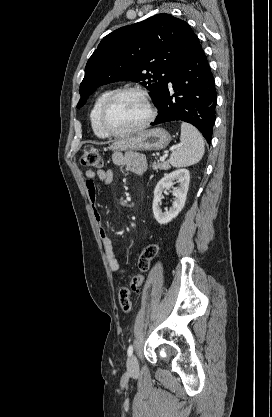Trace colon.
<instances>
[{
    "mask_svg": "<svg viewBox=\"0 0 272 417\" xmlns=\"http://www.w3.org/2000/svg\"><path fill=\"white\" fill-rule=\"evenodd\" d=\"M81 163L85 167L99 168L103 161L98 149L88 145L83 149L81 155ZM160 251L157 243L148 245L142 252L138 260V268L140 273L133 276L128 285L120 288L118 292V302L123 312L129 313L131 310V296L137 293L143 283L144 274L149 270L150 262Z\"/></svg>",
    "mask_w": 272,
    "mask_h": 417,
    "instance_id": "obj_1",
    "label": "colon"
}]
</instances>
